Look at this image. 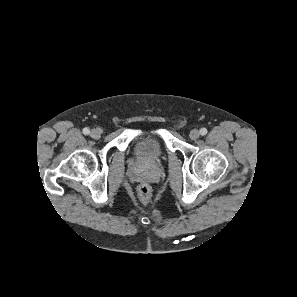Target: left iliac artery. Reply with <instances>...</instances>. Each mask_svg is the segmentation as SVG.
I'll return each mask as SVG.
<instances>
[{
	"instance_id": "obj_1",
	"label": "left iliac artery",
	"mask_w": 297,
	"mask_h": 297,
	"mask_svg": "<svg viewBox=\"0 0 297 297\" xmlns=\"http://www.w3.org/2000/svg\"><path fill=\"white\" fill-rule=\"evenodd\" d=\"M200 134L203 135V136L206 135L207 134V129L206 128H201L200 129Z\"/></svg>"
}]
</instances>
